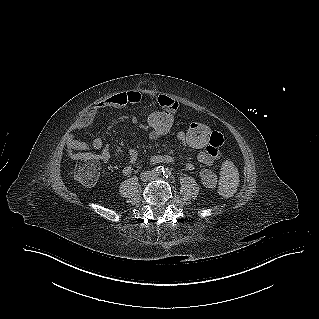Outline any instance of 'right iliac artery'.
I'll use <instances>...</instances> for the list:
<instances>
[{
  "mask_svg": "<svg viewBox=\"0 0 319 319\" xmlns=\"http://www.w3.org/2000/svg\"><path fill=\"white\" fill-rule=\"evenodd\" d=\"M164 169L165 168L163 166H157L152 171L155 173H162V172H164Z\"/></svg>",
  "mask_w": 319,
  "mask_h": 319,
  "instance_id": "82829eb1",
  "label": "right iliac artery"
}]
</instances>
